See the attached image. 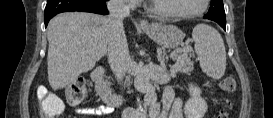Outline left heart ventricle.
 <instances>
[{
  "instance_id": "left-heart-ventricle-1",
  "label": "left heart ventricle",
  "mask_w": 273,
  "mask_h": 118,
  "mask_svg": "<svg viewBox=\"0 0 273 118\" xmlns=\"http://www.w3.org/2000/svg\"><path fill=\"white\" fill-rule=\"evenodd\" d=\"M156 8L175 13H189L202 6V0H156Z\"/></svg>"
}]
</instances>
